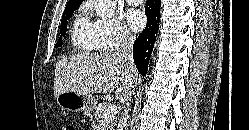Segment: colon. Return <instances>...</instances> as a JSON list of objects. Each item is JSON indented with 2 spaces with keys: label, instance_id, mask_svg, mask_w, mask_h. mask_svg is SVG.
I'll return each mask as SVG.
<instances>
[{
  "label": "colon",
  "instance_id": "1",
  "mask_svg": "<svg viewBox=\"0 0 249 130\" xmlns=\"http://www.w3.org/2000/svg\"><path fill=\"white\" fill-rule=\"evenodd\" d=\"M62 130H77V129L74 124L66 123L63 125Z\"/></svg>",
  "mask_w": 249,
  "mask_h": 130
}]
</instances>
